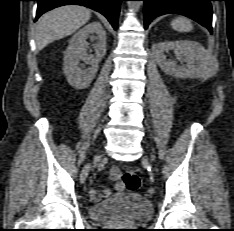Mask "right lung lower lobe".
<instances>
[{
  "label": "right lung lower lobe",
  "mask_w": 234,
  "mask_h": 231,
  "mask_svg": "<svg viewBox=\"0 0 234 231\" xmlns=\"http://www.w3.org/2000/svg\"><path fill=\"white\" fill-rule=\"evenodd\" d=\"M38 2L36 20L45 12L68 4H77L96 10L107 17L114 29L117 28L120 3L123 0H36Z\"/></svg>",
  "instance_id": "98d812e1"
}]
</instances>
